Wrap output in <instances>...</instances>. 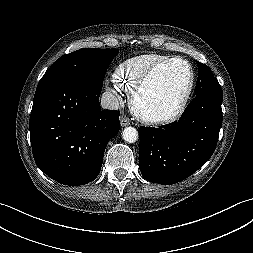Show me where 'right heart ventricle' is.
<instances>
[{"mask_svg":"<svg viewBox=\"0 0 253 253\" xmlns=\"http://www.w3.org/2000/svg\"><path fill=\"white\" fill-rule=\"evenodd\" d=\"M167 58L169 57L157 53L131 57L116 67L112 81L115 86L131 94L145 71L153 64Z\"/></svg>","mask_w":253,"mask_h":253,"instance_id":"obj_1","label":"right heart ventricle"}]
</instances>
